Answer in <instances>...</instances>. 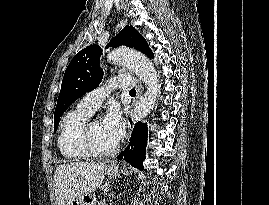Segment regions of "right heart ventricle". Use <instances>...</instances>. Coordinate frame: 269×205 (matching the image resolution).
I'll return each mask as SVG.
<instances>
[{"label":"right heart ventricle","instance_id":"1","mask_svg":"<svg viewBox=\"0 0 269 205\" xmlns=\"http://www.w3.org/2000/svg\"><path fill=\"white\" fill-rule=\"evenodd\" d=\"M92 113L76 106L63 117L58 135V147L69 161H82L90 157L82 143V132Z\"/></svg>","mask_w":269,"mask_h":205}]
</instances>
